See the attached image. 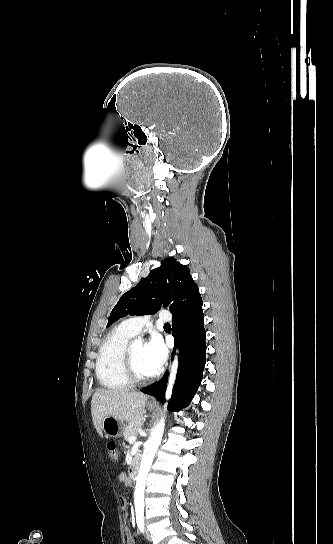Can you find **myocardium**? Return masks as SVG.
<instances>
[{
	"label": "myocardium",
	"instance_id": "1",
	"mask_svg": "<svg viewBox=\"0 0 333 544\" xmlns=\"http://www.w3.org/2000/svg\"><path fill=\"white\" fill-rule=\"evenodd\" d=\"M131 346L132 345L130 344L127 345L124 352L123 365H124L125 374L131 383L146 384L152 381L156 377V374L154 373L150 376L142 377L137 373L135 365H134V361H133Z\"/></svg>",
	"mask_w": 333,
	"mask_h": 544
}]
</instances>
